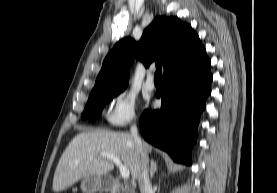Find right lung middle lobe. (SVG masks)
I'll use <instances>...</instances> for the list:
<instances>
[{
  "label": "right lung middle lobe",
  "instance_id": "1",
  "mask_svg": "<svg viewBox=\"0 0 277 193\" xmlns=\"http://www.w3.org/2000/svg\"><path fill=\"white\" fill-rule=\"evenodd\" d=\"M122 90L116 91H103L94 94H90L89 99L86 103L85 109L81 115L82 119L90 118L98 115L104 106L110 102L115 96L120 94Z\"/></svg>",
  "mask_w": 277,
  "mask_h": 193
}]
</instances>
